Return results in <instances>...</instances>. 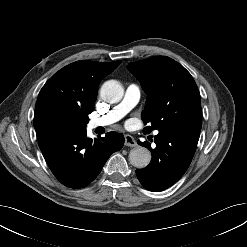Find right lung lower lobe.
Wrapping results in <instances>:
<instances>
[{
  "mask_svg": "<svg viewBox=\"0 0 247 247\" xmlns=\"http://www.w3.org/2000/svg\"><path fill=\"white\" fill-rule=\"evenodd\" d=\"M42 154L54 176L65 186L83 188L101 172L110 155L124 145L121 133L109 132L92 140L86 129L49 130L37 135Z\"/></svg>",
  "mask_w": 247,
  "mask_h": 247,
  "instance_id": "right-lung-lower-lobe-1",
  "label": "right lung lower lobe"
}]
</instances>
